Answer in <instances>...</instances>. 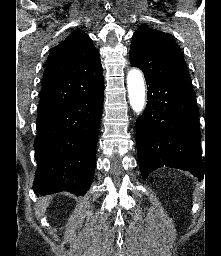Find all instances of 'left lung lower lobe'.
I'll use <instances>...</instances> for the list:
<instances>
[{"instance_id":"left-lung-lower-lobe-1","label":"left lung lower lobe","mask_w":221,"mask_h":256,"mask_svg":"<svg viewBox=\"0 0 221 256\" xmlns=\"http://www.w3.org/2000/svg\"><path fill=\"white\" fill-rule=\"evenodd\" d=\"M146 109L136 121L143 179L166 166L203 179L199 111L189 81L149 78Z\"/></svg>"}]
</instances>
